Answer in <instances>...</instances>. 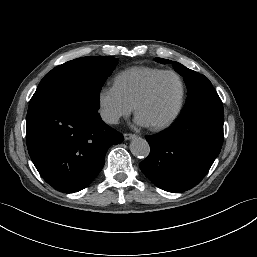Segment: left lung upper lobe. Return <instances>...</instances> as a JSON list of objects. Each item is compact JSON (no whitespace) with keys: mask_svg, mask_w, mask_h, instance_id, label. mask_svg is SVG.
Listing matches in <instances>:
<instances>
[{"mask_svg":"<svg viewBox=\"0 0 257 257\" xmlns=\"http://www.w3.org/2000/svg\"><path fill=\"white\" fill-rule=\"evenodd\" d=\"M155 60L162 64H172L174 70L184 77L188 89V98L181 113L220 99L211 82L204 75L198 74L175 61L162 58H156Z\"/></svg>","mask_w":257,"mask_h":257,"instance_id":"5c2ea615","label":"left lung upper lobe"}]
</instances>
